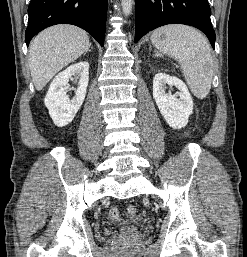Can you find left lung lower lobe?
<instances>
[{
  "instance_id": "left-lung-lower-lobe-1",
  "label": "left lung lower lobe",
  "mask_w": 247,
  "mask_h": 257,
  "mask_svg": "<svg viewBox=\"0 0 247 257\" xmlns=\"http://www.w3.org/2000/svg\"><path fill=\"white\" fill-rule=\"evenodd\" d=\"M135 42L166 24H185L200 29L215 48V31L208 0H136Z\"/></svg>"
}]
</instances>
